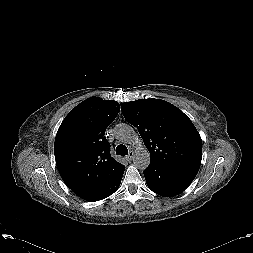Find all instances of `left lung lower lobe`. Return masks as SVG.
I'll list each match as a JSON object with an SVG mask.
<instances>
[{
  "instance_id": "left-lung-lower-lobe-1",
  "label": "left lung lower lobe",
  "mask_w": 253,
  "mask_h": 253,
  "mask_svg": "<svg viewBox=\"0 0 253 253\" xmlns=\"http://www.w3.org/2000/svg\"><path fill=\"white\" fill-rule=\"evenodd\" d=\"M198 171V166L188 163L150 161L143 173L148 187L153 192L172 197L182 193Z\"/></svg>"
}]
</instances>
